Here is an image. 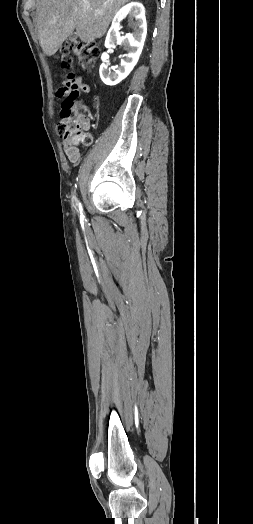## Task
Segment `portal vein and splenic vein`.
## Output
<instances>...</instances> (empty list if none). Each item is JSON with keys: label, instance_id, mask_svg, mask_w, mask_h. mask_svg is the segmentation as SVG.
Masks as SVG:
<instances>
[{"label": "portal vein and splenic vein", "instance_id": "1", "mask_svg": "<svg viewBox=\"0 0 253 524\" xmlns=\"http://www.w3.org/2000/svg\"><path fill=\"white\" fill-rule=\"evenodd\" d=\"M86 9H89V6H86Z\"/></svg>", "mask_w": 253, "mask_h": 524}]
</instances>
